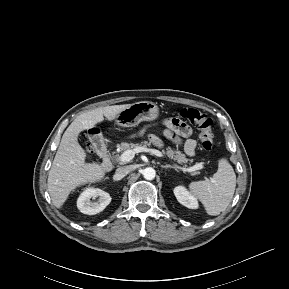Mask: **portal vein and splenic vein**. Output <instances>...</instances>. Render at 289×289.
Listing matches in <instances>:
<instances>
[{
	"label": "portal vein and splenic vein",
	"instance_id": "portal-vein-and-splenic-vein-1",
	"mask_svg": "<svg viewBox=\"0 0 289 289\" xmlns=\"http://www.w3.org/2000/svg\"><path fill=\"white\" fill-rule=\"evenodd\" d=\"M140 152H149L152 155H156L158 157H164L163 153L156 150V149L147 148L145 146H138L133 150H127V151L123 152L121 154V156L119 157V159L122 162H129L134 158L136 153H140ZM175 166H176V168L182 170L183 172H194L196 170L203 168L202 163L196 164V165L189 167V168H184V167H180L177 165H175Z\"/></svg>",
	"mask_w": 289,
	"mask_h": 289
}]
</instances>
